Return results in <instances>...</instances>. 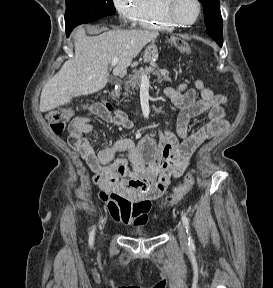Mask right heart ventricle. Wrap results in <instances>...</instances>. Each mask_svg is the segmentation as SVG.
<instances>
[{"label":"right heart ventricle","mask_w":273,"mask_h":288,"mask_svg":"<svg viewBox=\"0 0 273 288\" xmlns=\"http://www.w3.org/2000/svg\"><path fill=\"white\" fill-rule=\"evenodd\" d=\"M134 24L155 30H171L175 26L165 17L162 0H140Z\"/></svg>","instance_id":"e07e8e85"}]
</instances>
